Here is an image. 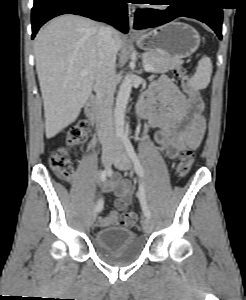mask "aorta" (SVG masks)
Masks as SVG:
<instances>
[{
    "instance_id": "aorta-1",
    "label": "aorta",
    "mask_w": 246,
    "mask_h": 300,
    "mask_svg": "<svg viewBox=\"0 0 246 300\" xmlns=\"http://www.w3.org/2000/svg\"><path fill=\"white\" fill-rule=\"evenodd\" d=\"M132 90V77L127 75L120 85L114 109V127L119 139L127 137L125 133V113Z\"/></svg>"
}]
</instances>
